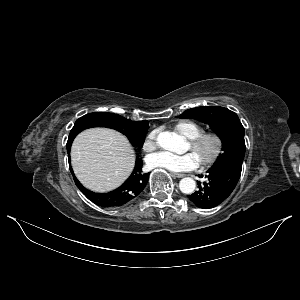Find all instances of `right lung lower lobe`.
Instances as JSON below:
<instances>
[{
  "instance_id": "98d812e1",
  "label": "right lung lower lobe",
  "mask_w": 300,
  "mask_h": 300,
  "mask_svg": "<svg viewBox=\"0 0 300 300\" xmlns=\"http://www.w3.org/2000/svg\"><path fill=\"white\" fill-rule=\"evenodd\" d=\"M71 143L67 145L68 157L70 159ZM142 160L136 159L135 168L130 177L117 189L108 193H95L85 187L74 177L76 186L93 203L101 207H119L135 199L146 187L149 173L142 172ZM71 172L72 169L70 168Z\"/></svg>"
}]
</instances>
